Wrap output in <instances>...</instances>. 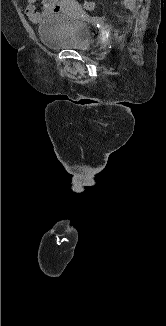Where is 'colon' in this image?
<instances>
[{
  "label": "colon",
  "mask_w": 166,
  "mask_h": 326,
  "mask_svg": "<svg viewBox=\"0 0 166 326\" xmlns=\"http://www.w3.org/2000/svg\"><path fill=\"white\" fill-rule=\"evenodd\" d=\"M94 6H95V4H94V2H92V1H85V3H84V7H85L86 9H89V10L93 9Z\"/></svg>",
  "instance_id": "obj_1"
}]
</instances>
